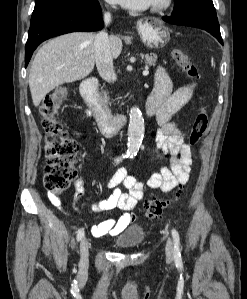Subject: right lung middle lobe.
Masks as SVG:
<instances>
[{
    "label": "right lung middle lobe",
    "mask_w": 247,
    "mask_h": 299,
    "mask_svg": "<svg viewBox=\"0 0 247 299\" xmlns=\"http://www.w3.org/2000/svg\"><path fill=\"white\" fill-rule=\"evenodd\" d=\"M95 0H35V7L30 25L41 19L68 7L79 6Z\"/></svg>",
    "instance_id": "1"
}]
</instances>
